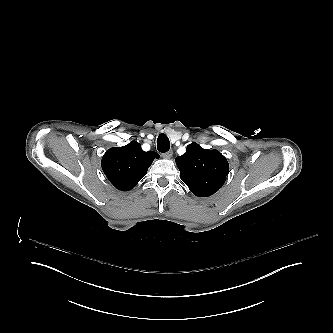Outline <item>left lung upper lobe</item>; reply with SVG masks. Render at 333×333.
<instances>
[{
    "mask_svg": "<svg viewBox=\"0 0 333 333\" xmlns=\"http://www.w3.org/2000/svg\"><path fill=\"white\" fill-rule=\"evenodd\" d=\"M176 164L181 180L199 197L217 192L229 173V164L218 150L203 149L197 143L189 144Z\"/></svg>",
    "mask_w": 333,
    "mask_h": 333,
    "instance_id": "5c2ea615",
    "label": "left lung upper lobe"
}]
</instances>
